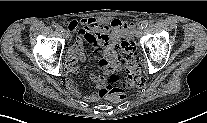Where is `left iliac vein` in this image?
Returning <instances> with one entry per match:
<instances>
[{"label":"left iliac vein","instance_id":"left-iliac-vein-1","mask_svg":"<svg viewBox=\"0 0 207 123\" xmlns=\"http://www.w3.org/2000/svg\"><path fill=\"white\" fill-rule=\"evenodd\" d=\"M142 32H143V27L141 25H139L135 31L136 38H139L141 36Z\"/></svg>","mask_w":207,"mask_h":123}]
</instances>
